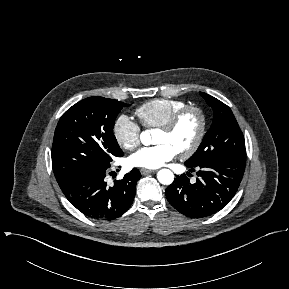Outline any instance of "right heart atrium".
I'll list each match as a JSON object with an SVG mask.
<instances>
[{
	"instance_id": "obj_1",
	"label": "right heart atrium",
	"mask_w": 289,
	"mask_h": 289,
	"mask_svg": "<svg viewBox=\"0 0 289 289\" xmlns=\"http://www.w3.org/2000/svg\"><path fill=\"white\" fill-rule=\"evenodd\" d=\"M113 135L118 145L125 150H134L140 144V127L125 114L115 120Z\"/></svg>"
}]
</instances>
